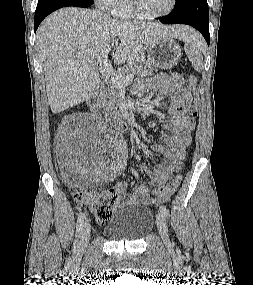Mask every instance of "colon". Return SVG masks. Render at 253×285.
<instances>
[{
	"label": "colon",
	"mask_w": 253,
	"mask_h": 285,
	"mask_svg": "<svg viewBox=\"0 0 253 285\" xmlns=\"http://www.w3.org/2000/svg\"><path fill=\"white\" fill-rule=\"evenodd\" d=\"M197 80L196 77L189 74L187 76V88L190 94L187 111L190 117H196L198 112V96H197ZM181 180V176L177 175L173 181L161 187L162 192L175 191ZM73 197L77 203L88 208L99 223L107 222L116 205L123 197V193L116 189H107L103 191L73 190Z\"/></svg>",
	"instance_id": "obj_1"
}]
</instances>
